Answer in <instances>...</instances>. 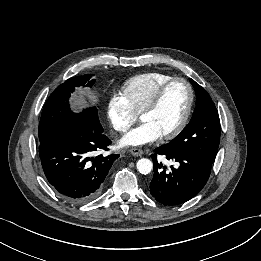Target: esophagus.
Here are the masks:
<instances>
[{
    "instance_id": "esophagus-1",
    "label": "esophagus",
    "mask_w": 261,
    "mask_h": 261,
    "mask_svg": "<svg viewBox=\"0 0 261 261\" xmlns=\"http://www.w3.org/2000/svg\"><path fill=\"white\" fill-rule=\"evenodd\" d=\"M130 152L133 156H141L143 154V151L139 148H132Z\"/></svg>"
}]
</instances>
